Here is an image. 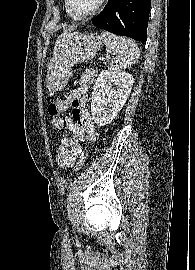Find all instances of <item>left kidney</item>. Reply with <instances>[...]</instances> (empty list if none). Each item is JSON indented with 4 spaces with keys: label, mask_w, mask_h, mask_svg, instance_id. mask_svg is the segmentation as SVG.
I'll return each instance as SVG.
<instances>
[{
    "label": "left kidney",
    "mask_w": 195,
    "mask_h": 270,
    "mask_svg": "<svg viewBox=\"0 0 195 270\" xmlns=\"http://www.w3.org/2000/svg\"><path fill=\"white\" fill-rule=\"evenodd\" d=\"M133 83V76L127 72L110 69L99 74L91 102V114L97 125H107L117 116L131 93Z\"/></svg>",
    "instance_id": "left-kidney-1"
}]
</instances>
